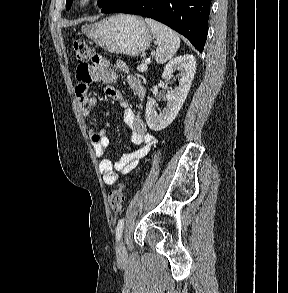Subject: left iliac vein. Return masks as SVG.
<instances>
[{"mask_svg": "<svg viewBox=\"0 0 288 293\" xmlns=\"http://www.w3.org/2000/svg\"><path fill=\"white\" fill-rule=\"evenodd\" d=\"M116 254L119 258H122L126 254V248L122 240H119L116 247Z\"/></svg>", "mask_w": 288, "mask_h": 293, "instance_id": "left-iliac-vein-1", "label": "left iliac vein"}]
</instances>
